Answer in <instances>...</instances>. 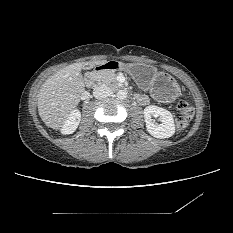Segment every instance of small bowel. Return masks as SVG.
Here are the masks:
<instances>
[{
    "instance_id": "small-bowel-1",
    "label": "small bowel",
    "mask_w": 233,
    "mask_h": 233,
    "mask_svg": "<svg viewBox=\"0 0 233 233\" xmlns=\"http://www.w3.org/2000/svg\"><path fill=\"white\" fill-rule=\"evenodd\" d=\"M137 101L143 106L149 104V98L146 95H137Z\"/></svg>"
}]
</instances>
